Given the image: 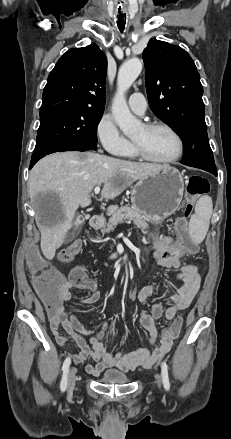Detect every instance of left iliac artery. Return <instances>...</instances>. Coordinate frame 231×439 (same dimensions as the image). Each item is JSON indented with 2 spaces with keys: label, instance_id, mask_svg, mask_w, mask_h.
I'll return each instance as SVG.
<instances>
[{
  "label": "left iliac artery",
  "instance_id": "left-iliac-artery-1",
  "mask_svg": "<svg viewBox=\"0 0 231 439\" xmlns=\"http://www.w3.org/2000/svg\"><path fill=\"white\" fill-rule=\"evenodd\" d=\"M161 374L164 388L168 391L170 389V382L168 377V367L165 362H162L161 364Z\"/></svg>",
  "mask_w": 231,
  "mask_h": 439
}]
</instances>
